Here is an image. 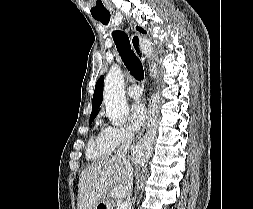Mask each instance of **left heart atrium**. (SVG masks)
I'll return each instance as SVG.
<instances>
[{"instance_id": "obj_1", "label": "left heart atrium", "mask_w": 253, "mask_h": 209, "mask_svg": "<svg viewBox=\"0 0 253 209\" xmlns=\"http://www.w3.org/2000/svg\"><path fill=\"white\" fill-rule=\"evenodd\" d=\"M147 119V108L141 103L137 102L132 105L129 113V123L132 130H139Z\"/></svg>"}]
</instances>
